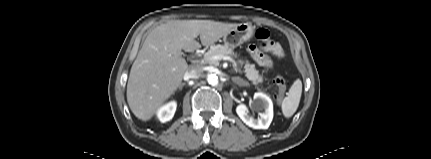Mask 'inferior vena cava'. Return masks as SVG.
Wrapping results in <instances>:
<instances>
[{
	"instance_id": "obj_1",
	"label": "inferior vena cava",
	"mask_w": 431,
	"mask_h": 159,
	"mask_svg": "<svg viewBox=\"0 0 431 159\" xmlns=\"http://www.w3.org/2000/svg\"><path fill=\"white\" fill-rule=\"evenodd\" d=\"M201 74V68L198 66H191L190 69L185 73L184 79H195Z\"/></svg>"
}]
</instances>
